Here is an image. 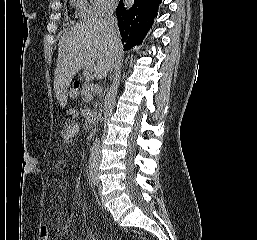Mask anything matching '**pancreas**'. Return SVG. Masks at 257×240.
Masks as SVG:
<instances>
[{
  "label": "pancreas",
  "mask_w": 257,
  "mask_h": 240,
  "mask_svg": "<svg viewBox=\"0 0 257 240\" xmlns=\"http://www.w3.org/2000/svg\"><path fill=\"white\" fill-rule=\"evenodd\" d=\"M89 82H86L83 87H82V90H81V95H82V98L84 101H88L89 98H88V93H89Z\"/></svg>",
  "instance_id": "pancreas-1"
}]
</instances>
